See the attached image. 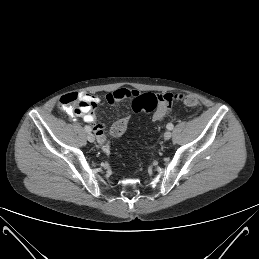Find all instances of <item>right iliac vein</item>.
Wrapping results in <instances>:
<instances>
[{"label":"right iliac vein","instance_id":"1","mask_svg":"<svg viewBox=\"0 0 259 259\" xmlns=\"http://www.w3.org/2000/svg\"><path fill=\"white\" fill-rule=\"evenodd\" d=\"M87 139L89 142H94L95 141V136L92 133L87 134Z\"/></svg>","mask_w":259,"mask_h":259}]
</instances>
